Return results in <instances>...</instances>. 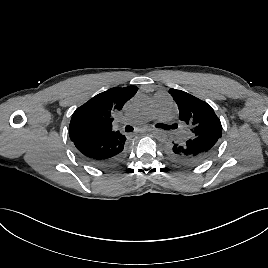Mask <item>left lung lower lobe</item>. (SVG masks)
I'll return each instance as SVG.
<instances>
[{"label":"left lung lower lobe","instance_id":"0a47b994","mask_svg":"<svg viewBox=\"0 0 268 268\" xmlns=\"http://www.w3.org/2000/svg\"><path fill=\"white\" fill-rule=\"evenodd\" d=\"M219 137L203 135L175 141L168 145L167 153L176 162L185 166H197L208 160L216 151Z\"/></svg>","mask_w":268,"mask_h":268}]
</instances>
